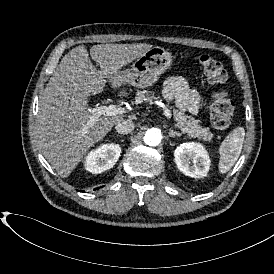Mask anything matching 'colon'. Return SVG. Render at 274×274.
Wrapping results in <instances>:
<instances>
[{
    "label": "colon",
    "mask_w": 274,
    "mask_h": 274,
    "mask_svg": "<svg viewBox=\"0 0 274 274\" xmlns=\"http://www.w3.org/2000/svg\"><path fill=\"white\" fill-rule=\"evenodd\" d=\"M199 64L209 82L220 86L211 95L210 119L215 128H227L233 119L234 105L230 94L222 86L227 82L228 74L219 60L203 54L199 57Z\"/></svg>",
    "instance_id": "colon-1"
}]
</instances>
